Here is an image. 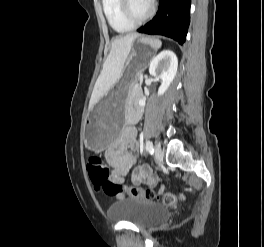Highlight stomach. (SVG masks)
<instances>
[{"instance_id":"1","label":"stomach","mask_w":264,"mask_h":247,"mask_svg":"<svg viewBox=\"0 0 264 247\" xmlns=\"http://www.w3.org/2000/svg\"><path fill=\"white\" fill-rule=\"evenodd\" d=\"M149 38H141L133 44L131 56L125 67L124 75L103 101H96L84 122V141L87 148L94 152L106 149L119 135L125 117V107L129 89L137 81L139 74L149 68L152 48ZM151 46V45H150ZM152 47V46H151Z\"/></svg>"}]
</instances>
